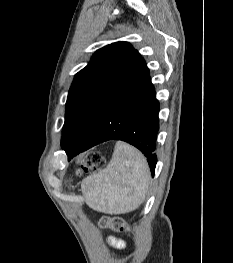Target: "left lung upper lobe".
<instances>
[{
    "label": "left lung upper lobe",
    "instance_id": "left-lung-upper-lobe-1",
    "mask_svg": "<svg viewBox=\"0 0 233 263\" xmlns=\"http://www.w3.org/2000/svg\"><path fill=\"white\" fill-rule=\"evenodd\" d=\"M141 55L128 42L107 45L79 71L69 90L61 144H84L97 120L137 65Z\"/></svg>",
    "mask_w": 233,
    "mask_h": 263
}]
</instances>
